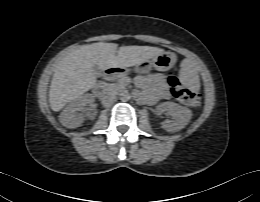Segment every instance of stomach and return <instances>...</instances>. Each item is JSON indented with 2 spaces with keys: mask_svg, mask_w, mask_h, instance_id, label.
<instances>
[{
  "mask_svg": "<svg viewBox=\"0 0 260 202\" xmlns=\"http://www.w3.org/2000/svg\"><path fill=\"white\" fill-rule=\"evenodd\" d=\"M176 61L177 58L174 53L164 52L154 58L138 64V67L143 72H146L151 68H154L158 71H167L175 65Z\"/></svg>",
  "mask_w": 260,
  "mask_h": 202,
  "instance_id": "obj_1",
  "label": "stomach"
}]
</instances>
